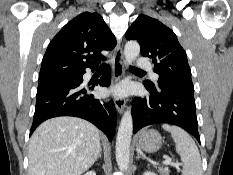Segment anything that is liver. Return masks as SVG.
<instances>
[{"mask_svg":"<svg viewBox=\"0 0 233 175\" xmlns=\"http://www.w3.org/2000/svg\"><path fill=\"white\" fill-rule=\"evenodd\" d=\"M100 131L77 117L43 122L29 143V175H81L100 151Z\"/></svg>","mask_w":233,"mask_h":175,"instance_id":"6515ba94","label":"liver"}]
</instances>
